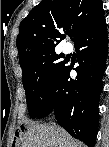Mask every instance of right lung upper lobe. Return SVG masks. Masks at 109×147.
<instances>
[{
    "instance_id": "cb5924a9",
    "label": "right lung upper lobe",
    "mask_w": 109,
    "mask_h": 147,
    "mask_svg": "<svg viewBox=\"0 0 109 147\" xmlns=\"http://www.w3.org/2000/svg\"><path fill=\"white\" fill-rule=\"evenodd\" d=\"M103 16L101 0H42L20 24L16 45L21 68L55 51L64 32H72L75 42Z\"/></svg>"
}]
</instances>
